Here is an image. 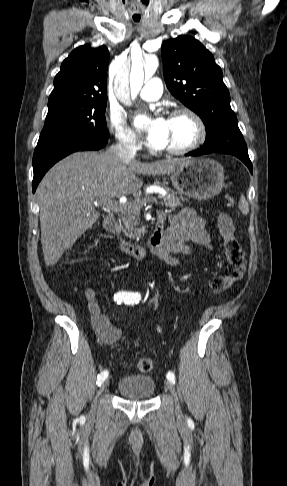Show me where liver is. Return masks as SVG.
Wrapping results in <instances>:
<instances>
[{
    "mask_svg": "<svg viewBox=\"0 0 287 486\" xmlns=\"http://www.w3.org/2000/svg\"><path fill=\"white\" fill-rule=\"evenodd\" d=\"M186 160L126 161L108 149L101 153L75 152L55 164L36 191L46 266L55 265L98 220L100 213L94 202L135 193L143 185L137 174L170 173Z\"/></svg>",
    "mask_w": 287,
    "mask_h": 486,
    "instance_id": "1",
    "label": "liver"
}]
</instances>
